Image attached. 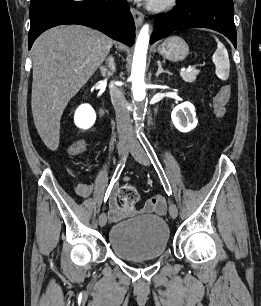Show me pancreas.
<instances>
[{"mask_svg":"<svg viewBox=\"0 0 261 306\" xmlns=\"http://www.w3.org/2000/svg\"><path fill=\"white\" fill-rule=\"evenodd\" d=\"M198 71H191V72H182L180 75L182 79L187 83H192L195 81Z\"/></svg>","mask_w":261,"mask_h":306,"instance_id":"cf45deb5","label":"pancreas"}]
</instances>
